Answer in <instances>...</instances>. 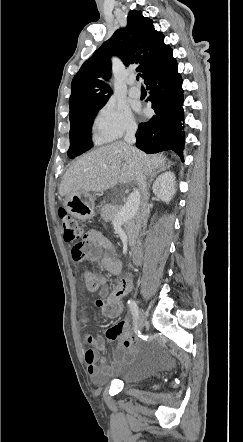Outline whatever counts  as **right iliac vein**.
Returning <instances> with one entry per match:
<instances>
[{
  "mask_svg": "<svg viewBox=\"0 0 243 442\" xmlns=\"http://www.w3.org/2000/svg\"><path fill=\"white\" fill-rule=\"evenodd\" d=\"M145 321H146V315H145L143 309L139 308V311H138V327L140 329L144 326Z\"/></svg>",
  "mask_w": 243,
  "mask_h": 442,
  "instance_id": "right-iliac-vein-1",
  "label": "right iliac vein"
}]
</instances>
